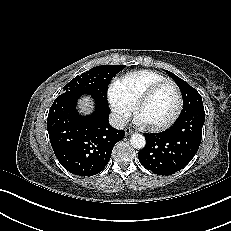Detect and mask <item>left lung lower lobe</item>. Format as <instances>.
I'll list each match as a JSON object with an SVG mask.
<instances>
[{
	"label": "left lung lower lobe",
	"instance_id": "left-lung-lower-lobe-1",
	"mask_svg": "<svg viewBox=\"0 0 231 231\" xmlns=\"http://www.w3.org/2000/svg\"><path fill=\"white\" fill-rule=\"evenodd\" d=\"M204 108L189 111L173 134H145L146 145L139 151L140 163L157 175H171L183 169L195 156L202 138Z\"/></svg>",
	"mask_w": 231,
	"mask_h": 231
}]
</instances>
